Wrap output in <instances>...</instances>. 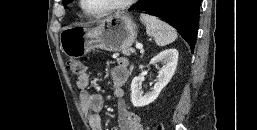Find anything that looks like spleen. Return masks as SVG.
Returning <instances> with one entry per match:
<instances>
[{"mask_svg": "<svg viewBox=\"0 0 257 130\" xmlns=\"http://www.w3.org/2000/svg\"><path fill=\"white\" fill-rule=\"evenodd\" d=\"M140 20L145 24L147 34L154 38L158 46H166L176 40V30L166 22L145 13L140 15Z\"/></svg>", "mask_w": 257, "mask_h": 130, "instance_id": "spleen-1", "label": "spleen"}]
</instances>
